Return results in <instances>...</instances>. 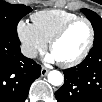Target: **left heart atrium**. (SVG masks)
Instances as JSON below:
<instances>
[{
    "instance_id": "left-heart-atrium-1",
    "label": "left heart atrium",
    "mask_w": 102,
    "mask_h": 102,
    "mask_svg": "<svg viewBox=\"0 0 102 102\" xmlns=\"http://www.w3.org/2000/svg\"><path fill=\"white\" fill-rule=\"evenodd\" d=\"M45 60L47 61V62H53V61H57V59L54 57V55L53 54H50V55H47L46 57H45Z\"/></svg>"
}]
</instances>
